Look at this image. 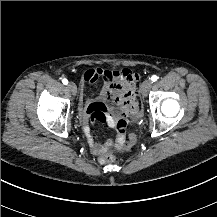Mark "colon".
Instances as JSON below:
<instances>
[{
	"label": "colon",
	"mask_w": 217,
	"mask_h": 217,
	"mask_svg": "<svg viewBox=\"0 0 217 217\" xmlns=\"http://www.w3.org/2000/svg\"><path fill=\"white\" fill-rule=\"evenodd\" d=\"M136 142V135L134 133H131L129 135V141L128 143L125 142L124 146L121 147V145H116V150H124L126 152H131L132 151V147L134 146ZM112 160V157L109 155V154H106V155H99L97 158H96V161L99 163V164H108L110 161Z\"/></svg>",
	"instance_id": "obj_1"
}]
</instances>
